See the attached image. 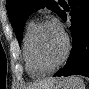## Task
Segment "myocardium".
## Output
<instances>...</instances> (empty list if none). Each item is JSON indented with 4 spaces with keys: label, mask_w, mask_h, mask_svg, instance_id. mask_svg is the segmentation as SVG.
<instances>
[{
    "label": "myocardium",
    "mask_w": 89,
    "mask_h": 89,
    "mask_svg": "<svg viewBox=\"0 0 89 89\" xmlns=\"http://www.w3.org/2000/svg\"><path fill=\"white\" fill-rule=\"evenodd\" d=\"M47 24H52V22L50 20H44V21L39 22L36 25L34 32L32 34V37H31V54H32V58L34 60L35 65L37 66V68L46 73H50V72L54 71L55 69H57L66 60V58L69 54V50H70V42H69L68 36L62 31L64 43H65V47H64L62 56L59 58V60L56 63H54L51 66L43 65L41 63V60H40V58L38 56V52H37V40H38V37H39V34H40L42 28Z\"/></svg>",
    "instance_id": "1"
}]
</instances>
